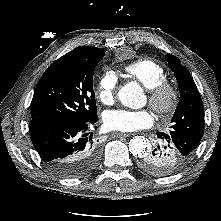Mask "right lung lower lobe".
I'll list each match as a JSON object with an SVG mask.
<instances>
[{
  "label": "right lung lower lobe",
  "instance_id": "right-lung-lower-lobe-1",
  "mask_svg": "<svg viewBox=\"0 0 221 221\" xmlns=\"http://www.w3.org/2000/svg\"><path fill=\"white\" fill-rule=\"evenodd\" d=\"M97 120L98 116L85 123L31 120V140L47 168L65 178L93 171L100 160V148L88 131Z\"/></svg>",
  "mask_w": 221,
  "mask_h": 221
}]
</instances>
